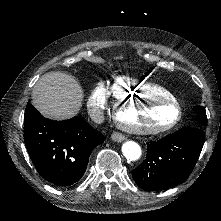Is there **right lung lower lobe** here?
<instances>
[{"instance_id": "1", "label": "right lung lower lobe", "mask_w": 221, "mask_h": 221, "mask_svg": "<svg viewBox=\"0 0 221 221\" xmlns=\"http://www.w3.org/2000/svg\"><path fill=\"white\" fill-rule=\"evenodd\" d=\"M24 141L38 173L54 185L69 186L82 178L91 152L104 136L79 117L46 119L29 103Z\"/></svg>"}]
</instances>
